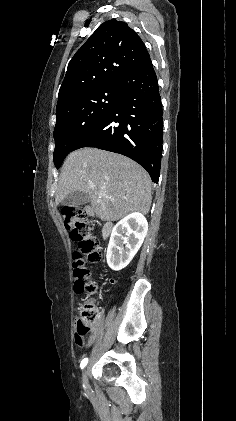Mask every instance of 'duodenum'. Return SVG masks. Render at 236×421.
Masks as SVG:
<instances>
[{
  "label": "duodenum",
  "instance_id": "obj_1",
  "mask_svg": "<svg viewBox=\"0 0 236 421\" xmlns=\"http://www.w3.org/2000/svg\"><path fill=\"white\" fill-rule=\"evenodd\" d=\"M112 228H113V225H112L111 222H106L103 225V227H102V236H103L104 239H106L110 235V233L112 231ZM95 337H96V335H95ZM95 337H94V340H95Z\"/></svg>",
  "mask_w": 236,
  "mask_h": 421
}]
</instances>
